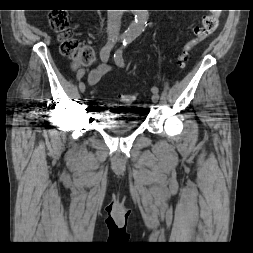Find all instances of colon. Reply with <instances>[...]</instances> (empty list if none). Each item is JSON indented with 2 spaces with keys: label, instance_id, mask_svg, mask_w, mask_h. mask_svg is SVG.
<instances>
[{
  "label": "colon",
  "instance_id": "colon-1",
  "mask_svg": "<svg viewBox=\"0 0 253 253\" xmlns=\"http://www.w3.org/2000/svg\"><path fill=\"white\" fill-rule=\"evenodd\" d=\"M218 24L219 13L216 11L203 18L201 26L196 29L195 36L183 46L178 56V64L180 66L183 67L185 65L196 46L208 39L215 32ZM50 25L59 34L63 55L73 59L77 66L88 65L93 61V51L87 46L80 45L71 37L69 19L66 13L53 12L50 17ZM137 99L138 94L136 93H123L119 95V100L123 104H132Z\"/></svg>",
  "mask_w": 253,
  "mask_h": 253
}]
</instances>
